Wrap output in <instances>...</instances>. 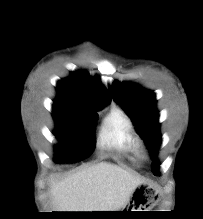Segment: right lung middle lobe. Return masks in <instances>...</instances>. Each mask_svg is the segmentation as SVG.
Wrapping results in <instances>:
<instances>
[{"label":"right lung middle lobe","mask_w":203,"mask_h":219,"mask_svg":"<svg viewBox=\"0 0 203 219\" xmlns=\"http://www.w3.org/2000/svg\"><path fill=\"white\" fill-rule=\"evenodd\" d=\"M53 117L57 124L54 135L62 141L56 146V162H73L88 157L94 150L96 111L80 103L57 99Z\"/></svg>","instance_id":"dd1d6c3e"}]
</instances>
